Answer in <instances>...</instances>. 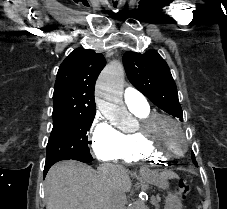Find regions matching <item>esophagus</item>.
Instances as JSON below:
<instances>
[{"label": "esophagus", "instance_id": "34e87169", "mask_svg": "<svg viewBox=\"0 0 227 209\" xmlns=\"http://www.w3.org/2000/svg\"><path fill=\"white\" fill-rule=\"evenodd\" d=\"M138 177H148L149 170L148 169H141L140 172L137 173Z\"/></svg>", "mask_w": 227, "mask_h": 209}]
</instances>
